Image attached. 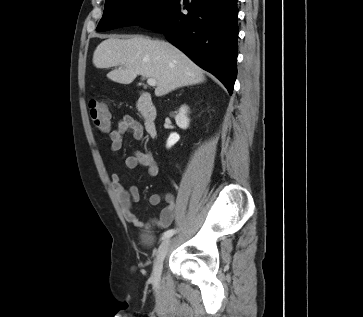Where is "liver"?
<instances>
[{
    "mask_svg": "<svg viewBox=\"0 0 363 317\" xmlns=\"http://www.w3.org/2000/svg\"><path fill=\"white\" fill-rule=\"evenodd\" d=\"M93 64L100 69L120 66L107 74L120 84L132 83L137 75L155 79L158 97L205 81L203 70L175 46L141 36L102 41L94 51Z\"/></svg>",
    "mask_w": 363,
    "mask_h": 317,
    "instance_id": "liver-1",
    "label": "liver"
}]
</instances>
